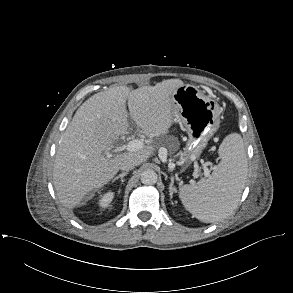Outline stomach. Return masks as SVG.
<instances>
[{"mask_svg":"<svg viewBox=\"0 0 293 293\" xmlns=\"http://www.w3.org/2000/svg\"><path fill=\"white\" fill-rule=\"evenodd\" d=\"M172 101L177 109L175 119L186 127L189 136L184 154L187 167L199 157L218 130L222 109L216 100L189 84L179 86Z\"/></svg>","mask_w":293,"mask_h":293,"instance_id":"stomach-1","label":"stomach"}]
</instances>
